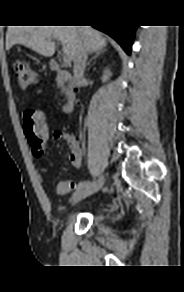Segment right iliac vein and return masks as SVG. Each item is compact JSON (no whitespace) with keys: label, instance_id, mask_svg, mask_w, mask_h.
Returning <instances> with one entry per match:
<instances>
[{"label":"right iliac vein","instance_id":"1","mask_svg":"<svg viewBox=\"0 0 184 292\" xmlns=\"http://www.w3.org/2000/svg\"><path fill=\"white\" fill-rule=\"evenodd\" d=\"M105 183V176L102 175L100 176V178L95 181L92 185L82 188V189H78L71 197L70 202L72 204H76L79 201L85 199L86 197L96 193L97 191H99L103 185Z\"/></svg>","mask_w":184,"mask_h":292}]
</instances>
